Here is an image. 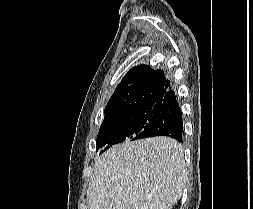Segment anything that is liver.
I'll use <instances>...</instances> for the list:
<instances>
[{"label": "liver", "instance_id": "1", "mask_svg": "<svg viewBox=\"0 0 253 209\" xmlns=\"http://www.w3.org/2000/svg\"><path fill=\"white\" fill-rule=\"evenodd\" d=\"M182 145L158 136L126 140L95 159L89 209H172L187 182Z\"/></svg>", "mask_w": 253, "mask_h": 209}]
</instances>
